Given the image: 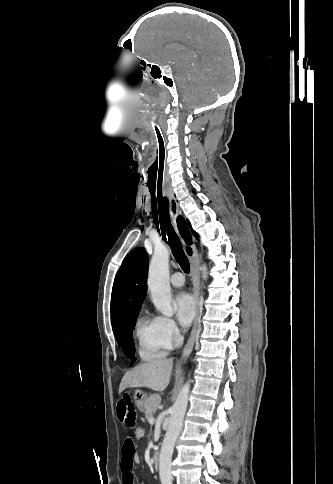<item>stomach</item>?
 <instances>
[{
    "instance_id": "obj_1",
    "label": "stomach",
    "mask_w": 333,
    "mask_h": 484,
    "mask_svg": "<svg viewBox=\"0 0 333 484\" xmlns=\"http://www.w3.org/2000/svg\"><path fill=\"white\" fill-rule=\"evenodd\" d=\"M134 399H135L136 407L140 411H144L146 403H147L148 396L144 392H142L141 390H137V391H135Z\"/></svg>"
}]
</instances>
